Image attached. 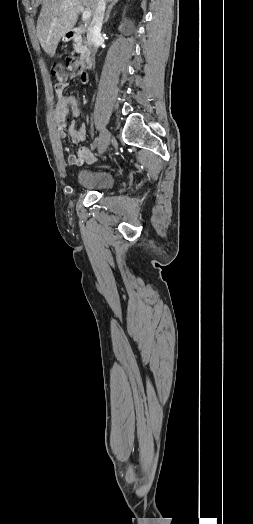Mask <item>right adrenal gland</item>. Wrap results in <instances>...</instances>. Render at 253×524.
<instances>
[{"instance_id": "1", "label": "right adrenal gland", "mask_w": 253, "mask_h": 524, "mask_svg": "<svg viewBox=\"0 0 253 524\" xmlns=\"http://www.w3.org/2000/svg\"><path fill=\"white\" fill-rule=\"evenodd\" d=\"M119 0H113L112 3L109 5L108 7V10H107V13H106V16H105V19H104V22L103 23H106L109 19V16H110V12L113 8V6L118 2Z\"/></svg>"}]
</instances>
